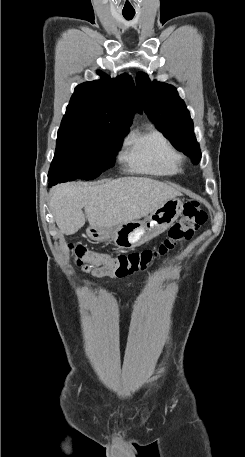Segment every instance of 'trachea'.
Here are the masks:
<instances>
[{"label":"trachea","instance_id":"trachea-1","mask_svg":"<svg viewBox=\"0 0 245 457\" xmlns=\"http://www.w3.org/2000/svg\"><path fill=\"white\" fill-rule=\"evenodd\" d=\"M134 15H135V13H123V16L126 20H132Z\"/></svg>","mask_w":245,"mask_h":457}]
</instances>
